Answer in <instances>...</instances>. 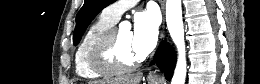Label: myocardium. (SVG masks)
<instances>
[{"instance_id": "1", "label": "myocardium", "mask_w": 260, "mask_h": 84, "mask_svg": "<svg viewBox=\"0 0 260 84\" xmlns=\"http://www.w3.org/2000/svg\"><path fill=\"white\" fill-rule=\"evenodd\" d=\"M117 27H111L96 40L92 51V67L104 75H116L135 70L143 61L138 58L131 63L118 59L116 49Z\"/></svg>"}]
</instances>
